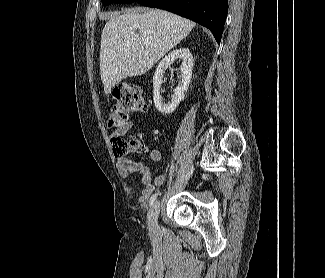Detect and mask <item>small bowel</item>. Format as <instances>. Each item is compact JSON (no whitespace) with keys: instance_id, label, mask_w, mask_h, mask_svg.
I'll return each mask as SVG.
<instances>
[{"instance_id":"small-bowel-1","label":"small bowel","mask_w":325,"mask_h":278,"mask_svg":"<svg viewBox=\"0 0 325 278\" xmlns=\"http://www.w3.org/2000/svg\"><path fill=\"white\" fill-rule=\"evenodd\" d=\"M133 122L127 121L112 135V139L114 140L118 136L125 135L133 128ZM162 154L157 149H152L150 151V159L154 162H158L161 160ZM118 170L122 177L124 178H132L135 174H139L140 181L143 185V189L139 194V202L145 203L150 195L154 192L156 186L161 185L165 181V175L160 174L155 178H152L151 172L147 165L142 162L131 161L128 158L119 157L118 158Z\"/></svg>"}]
</instances>
